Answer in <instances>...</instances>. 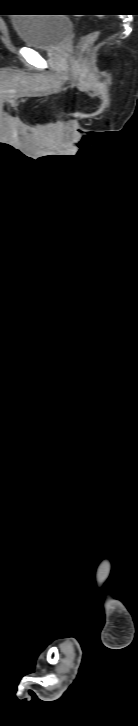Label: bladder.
Listing matches in <instances>:
<instances>
[{"label":"bladder","mask_w":138,"mask_h":726,"mask_svg":"<svg viewBox=\"0 0 138 726\" xmlns=\"http://www.w3.org/2000/svg\"><path fill=\"white\" fill-rule=\"evenodd\" d=\"M43 15L52 17L40 18ZM12 26L23 45L37 49H56L72 29L70 18L64 14H21Z\"/></svg>","instance_id":"31cf9c89"}]
</instances>
